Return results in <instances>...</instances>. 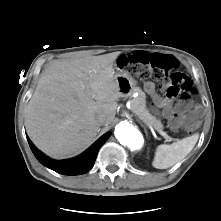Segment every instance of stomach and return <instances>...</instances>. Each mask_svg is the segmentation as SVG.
Returning a JSON list of instances; mask_svg holds the SVG:
<instances>
[{
  "label": "stomach",
  "mask_w": 221,
  "mask_h": 221,
  "mask_svg": "<svg viewBox=\"0 0 221 221\" xmlns=\"http://www.w3.org/2000/svg\"><path fill=\"white\" fill-rule=\"evenodd\" d=\"M115 81L117 82L122 95H127L137 89V81L126 71L119 70L115 75Z\"/></svg>",
  "instance_id": "obj_1"
}]
</instances>
